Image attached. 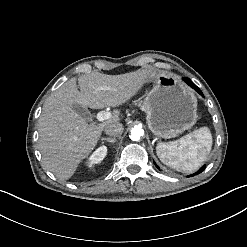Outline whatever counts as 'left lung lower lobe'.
<instances>
[{"label": "left lung lower lobe", "instance_id": "0a47b994", "mask_svg": "<svg viewBox=\"0 0 247 247\" xmlns=\"http://www.w3.org/2000/svg\"><path fill=\"white\" fill-rule=\"evenodd\" d=\"M183 80L190 86V87H192L193 89H195L200 95H202L203 96V93H202V91L189 79V78H183ZM205 165L202 167V168H200V170L199 171H197L196 173H194V174H192V175H189V177H191V176H194V175H197V174H199V173H201L204 169H205Z\"/></svg>", "mask_w": 247, "mask_h": 247}]
</instances>
